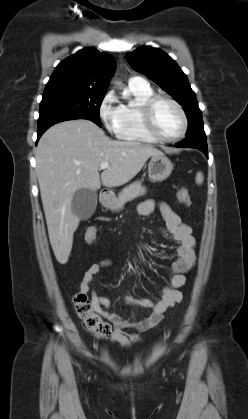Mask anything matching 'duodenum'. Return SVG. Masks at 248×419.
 <instances>
[{
    "mask_svg": "<svg viewBox=\"0 0 248 419\" xmlns=\"http://www.w3.org/2000/svg\"><path fill=\"white\" fill-rule=\"evenodd\" d=\"M110 199V193L108 191L101 192V200L102 202H107Z\"/></svg>",
    "mask_w": 248,
    "mask_h": 419,
    "instance_id": "1",
    "label": "duodenum"
}]
</instances>
